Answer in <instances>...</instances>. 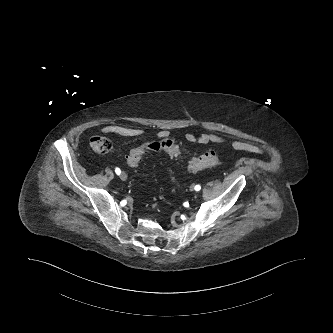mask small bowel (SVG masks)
<instances>
[{
    "mask_svg": "<svg viewBox=\"0 0 333 333\" xmlns=\"http://www.w3.org/2000/svg\"><path fill=\"white\" fill-rule=\"evenodd\" d=\"M101 132L107 135H118L123 137H138L144 134V129L141 127H125L120 125H106L102 128ZM158 140H166L170 138V132L166 129H162L157 133ZM184 139L193 144L205 145L208 143L216 144H232L234 147L245 149L251 152H260L262 151L260 147L250 144L243 143L240 141H231L228 138L215 134L202 132L200 134H195L193 132H186L184 134ZM157 140V141H158Z\"/></svg>",
    "mask_w": 333,
    "mask_h": 333,
    "instance_id": "c3829d8e",
    "label": "small bowel"
}]
</instances>
